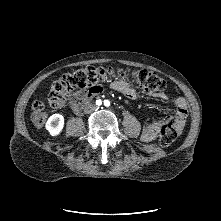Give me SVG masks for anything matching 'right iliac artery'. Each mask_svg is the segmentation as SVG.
<instances>
[{"mask_svg": "<svg viewBox=\"0 0 221 221\" xmlns=\"http://www.w3.org/2000/svg\"><path fill=\"white\" fill-rule=\"evenodd\" d=\"M96 104H97V105H101V104H102V101H101V100H97V101H96Z\"/></svg>", "mask_w": 221, "mask_h": 221, "instance_id": "82829eb1", "label": "right iliac artery"}]
</instances>
